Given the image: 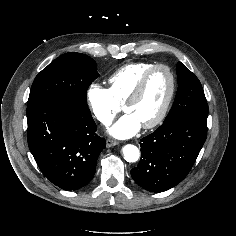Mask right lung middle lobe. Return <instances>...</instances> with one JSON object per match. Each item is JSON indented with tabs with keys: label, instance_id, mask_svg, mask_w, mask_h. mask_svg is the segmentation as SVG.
I'll list each match as a JSON object with an SVG mask.
<instances>
[{
	"label": "right lung middle lobe",
	"instance_id": "obj_1",
	"mask_svg": "<svg viewBox=\"0 0 236 236\" xmlns=\"http://www.w3.org/2000/svg\"><path fill=\"white\" fill-rule=\"evenodd\" d=\"M98 76L93 59L81 53H65L36 76L28 105L53 102L87 107V89Z\"/></svg>",
	"mask_w": 236,
	"mask_h": 236
}]
</instances>
